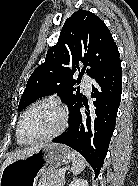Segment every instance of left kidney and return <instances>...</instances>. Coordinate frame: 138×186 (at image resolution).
<instances>
[{
  "label": "left kidney",
  "mask_w": 138,
  "mask_h": 186,
  "mask_svg": "<svg viewBox=\"0 0 138 186\" xmlns=\"http://www.w3.org/2000/svg\"><path fill=\"white\" fill-rule=\"evenodd\" d=\"M69 186H89L87 180L85 179H75Z\"/></svg>",
  "instance_id": "left-kidney-1"
}]
</instances>
